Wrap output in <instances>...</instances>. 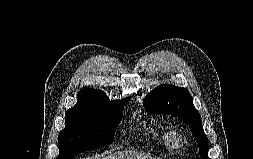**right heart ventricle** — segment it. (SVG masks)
Segmentation results:
<instances>
[{
  "instance_id": "obj_1",
  "label": "right heart ventricle",
  "mask_w": 253,
  "mask_h": 159,
  "mask_svg": "<svg viewBox=\"0 0 253 159\" xmlns=\"http://www.w3.org/2000/svg\"><path fill=\"white\" fill-rule=\"evenodd\" d=\"M146 140L153 146H169V131L154 125H144L142 129Z\"/></svg>"
}]
</instances>
